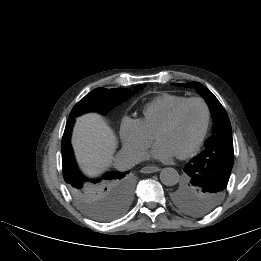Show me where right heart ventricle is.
Segmentation results:
<instances>
[{
  "mask_svg": "<svg viewBox=\"0 0 261 261\" xmlns=\"http://www.w3.org/2000/svg\"><path fill=\"white\" fill-rule=\"evenodd\" d=\"M186 99L188 97L184 95L163 93L144 106L139 120L144 128L154 136L175 108Z\"/></svg>",
  "mask_w": 261,
  "mask_h": 261,
  "instance_id": "right-heart-ventricle-1",
  "label": "right heart ventricle"
}]
</instances>
